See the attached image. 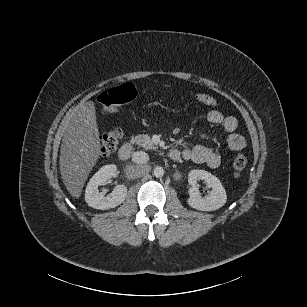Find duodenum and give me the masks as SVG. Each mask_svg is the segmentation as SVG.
I'll list each match as a JSON object with an SVG mask.
<instances>
[{
    "instance_id": "1",
    "label": "duodenum",
    "mask_w": 307,
    "mask_h": 307,
    "mask_svg": "<svg viewBox=\"0 0 307 307\" xmlns=\"http://www.w3.org/2000/svg\"><path fill=\"white\" fill-rule=\"evenodd\" d=\"M132 151H133V147L130 143L123 144L120 147L119 152H118L119 158L122 161L128 160L132 154ZM168 155L172 160H177L179 157V153L177 152V150H170Z\"/></svg>"
}]
</instances>
